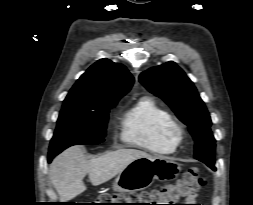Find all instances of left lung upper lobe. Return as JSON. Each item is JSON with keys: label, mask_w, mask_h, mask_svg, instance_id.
<instances>
[{"label": "left lung upper lobe", "mask_w": 253, "mask_h": 205, "mask_svg": "<svg viewBox=\"0 0 253 205\" xmlns=\"http://www.w3.org/2000/svg\"><path fill=\"white\" fill-rule=\"evenodd\" d=\"M139 80L151 93L162 98L188 126L195 140L194 157L215 169V139L210 129V115L184 71L170 61L142 72Z\"/></svg>", "instance_id": "1"}]
</instances>
